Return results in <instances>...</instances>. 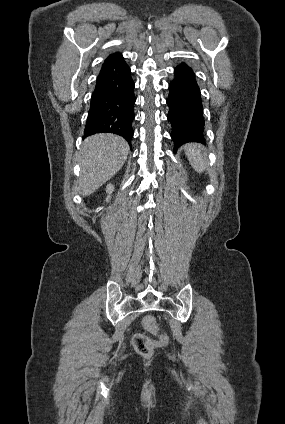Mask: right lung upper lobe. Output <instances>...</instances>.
Masks as SVG:
<instances>
[{
    "label": "right lung upper lobe",
    "instance_id": "right-lung-upper-lobe-1",
    "mask_svg": "<svg viewBox=\"0 0 285 424\" xmlns=\"http://www.w3.org/2000/svg\"><path fill=\"white\" fill-rule=\"evenodd\" d=\"M118 58H122V55L120 53H116V54H111L107 57V59L105 60V62L107 61H111V60H115Z\"/></svg>",
    "mask_w": 285,
    "mask_h": 424
}]
</instances>
